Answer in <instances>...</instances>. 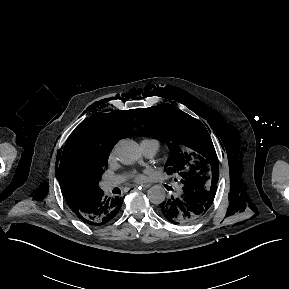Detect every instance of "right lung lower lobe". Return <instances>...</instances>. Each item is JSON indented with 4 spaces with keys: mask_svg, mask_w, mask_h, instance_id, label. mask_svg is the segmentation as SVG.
I'll list each match as a JSON object with an SVG mask.
<instances>
[{
    "mask_svg": "<svg viewBox=\"0 0 289 289\" xmlns=\"http://www.w3.org/2000/svg\"><path fill=\"white\" fill-rule=\"evenodd\" d=\"M121 205L120 197H107L101 190L73 212L85 223L98 226L109 222L118 213Z\"/></svg>",
    "mask_w": 289,
    "mask_h": 289,
    "instance_id": "1",
    "label": "right lung lower lobe"
}]
</instances>
